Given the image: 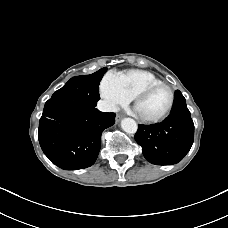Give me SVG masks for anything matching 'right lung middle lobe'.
<instances>
[{
	"label": "right lung middle lobe",
	"instance_id": "obj_1",
	"mask_svg": "<svg viewBox=\"0 0 228 228\" xmlns=\"http://www.w3.org/2000/svg\"><path fill=\"white\" fill-rule=\"evenodd\" d=\"M106 71L107 68H102L90 75L71 78L50 100L68 102L81 108L95 107L100 99L99 83Z\"/></svg>",
	"mask_w": 228,
	"mask_h": 228
}]
</instances>
